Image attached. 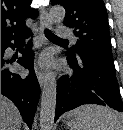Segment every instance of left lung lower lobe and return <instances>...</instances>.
I'll list each match as a JSON object with an SVG mask.
<instances>
[{
    "instance_id": "0a47b994",
    "label": "left lung lower lobe",
    "mask_w": 123,
    "mask_h": 130,
    "mask_svg": "<svg viewBox=\"0 0 123 130\" xmlns=\"http://www.w3.org/2000/svg\"><path fill=\"white\" fill-rule=\"evenodd\" d=\"M67 60L74 73L62 76L57 83L55 121L63 113L84 104L109 106L123 112L114 62L69 53Z\"/></svg>"
}]
</instances>
